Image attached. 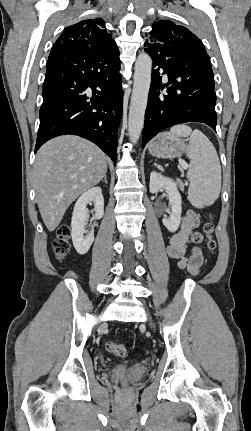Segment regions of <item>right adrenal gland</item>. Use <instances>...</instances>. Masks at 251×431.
I'll use <instances>...</instances> for the list:
<instances>
[{"mask_svg":"<svg viewBox=\"0 0 251 431\" xmlns=\"http://www.w3.org/2000/svg\"><path fill=\"white\" fill-rule=\"evenodd\" d=\"M102 182H104L105 184H107V183H108V182H107V175H105V176H104V178H103Z\"/></svg>","mask_w":251,"mask_h":431,"instance_id":"obj_1","label":"right adrenal gland"}]
</instances>
